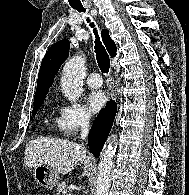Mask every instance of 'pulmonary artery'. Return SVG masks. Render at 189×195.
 Masks as SVG:
<instances>
[{
  "label": "pulmonary artery",
  "instance_id": "pulmonary-artery-1",
  "mask_svg": "<svg viewBox=\"0 0 189 195\" xmlns=\"http://www.w3.org/2000/svg\"><path fill=\"white\" fill-rule=\"evenodd\" d=\"M86 83L91 88H100L103 84V79L101 75L97 72H92L86 77Z\"/></svg>",
  "mask_w": 189,
  "mask_h": 195
}]
</instances>
